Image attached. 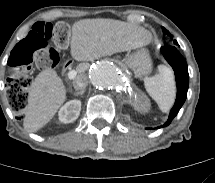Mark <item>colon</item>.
I'll list each match as a JSON object with an SVG mask.
<instances>
[{"label": "colon", "mask_w": 215, "mask_h": 183, "mask_svg": "<svg viewBox=\"0 0 215 183\" xmlns=\"http://www.w3.org/2000/svg\"><path fill=\"white\" fill-rule=\"evenodd\" d=\"M68 36L67 24L59 22L53 25L40 21L18 46L12 48V52L6 58L7 72L10 76L7 84V98L14 110L20 112L27 106L31 85V78L27 72L33 65L41 69L56 67L60 58L49 42L65 43Z\"/></svg>", "instance_id": "5ec220e1"}]
</instances>
